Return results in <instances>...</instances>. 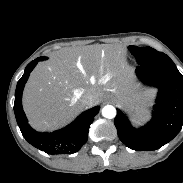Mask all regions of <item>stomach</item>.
<instances>
[{"label":"stomach","mask_w":183,"mask_h":183,"mask_svg":"<svg viewBox=\"0 0 183 183\" xmlns=\"http://www.w3.org/2000/svg\"><path fill=\"white\" fill-rule=\"evenodd\" d=\"M120 102H121V104L128 105V102H123V101H121V100H120ZM141 112H142V110H139V113H141Z\"/></svg>","instance_id":"stomach-1"}]
</instances>
